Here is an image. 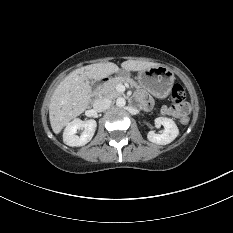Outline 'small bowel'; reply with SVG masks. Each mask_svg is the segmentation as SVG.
<instances>
[{"label":"small bowel","mask_w":233,"mask_h":233,"mask_svg":"<svg viewBox=\"0 0 233 233\" xmlns=\"http://www.w3.org/2000/svg\"><path fill=\"white\" fill-rule=\"evenodd\" d=\"M137 97L144 107H150L151 100L145 93L140 92L138 93ZM161 111L163 114L171 115L174 117H182L188 113L189 107L188 105L184 104L183 106L163 107Z\"/></svg>","instance_id":"small-bowel-1"}]
</instances>
